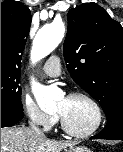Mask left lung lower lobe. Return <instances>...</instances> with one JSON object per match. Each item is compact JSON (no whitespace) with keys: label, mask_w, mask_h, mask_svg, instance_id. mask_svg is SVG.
Masks as SVG:
<instances>
[{"label":"left lung lower lobe","mask_w":123,"mask_h":152,"mask_svg":"<svg viewBox=\"0 0 123 152\" xmlns=\"http://www.w3.org/2000/svg\"><path fill=\"white\" fill-rule=\"evenodd\" d=\"M91 139L123 140V110L115 111L104 130Z\"/></svg>","instance_id":"0a47b994"}]
</instances>
